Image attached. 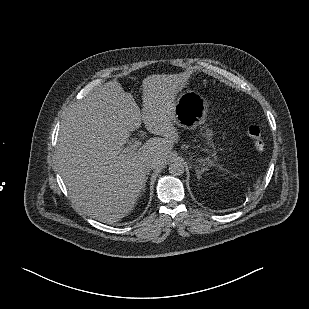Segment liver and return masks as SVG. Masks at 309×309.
Wrapping results in <instances>:
<instances>
[{
	"label": "liver",
	"mask_w": 309,
	"mask_h": 309,
	"mask_svg": "<svg viewBox=\"0 0 309 309\" xmlns=\"http://www.w3.org/2000/svg\"><path fill=\"white\" fill-rule=\"evenodd\" d=\"M143 108L109 81L64 115L56 160L69 195L88 217L115 222L130 213L146 183V167L163 165L177 140L173 110L156 79H146ZM154 135L138 150L123 149L141 123Z\"/></svg>",
	"instance_id": "6515ba94"
}]
</instances>
